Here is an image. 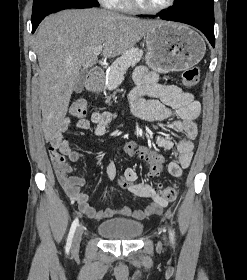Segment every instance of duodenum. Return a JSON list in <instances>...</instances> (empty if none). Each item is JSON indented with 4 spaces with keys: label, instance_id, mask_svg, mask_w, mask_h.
<instances>
[{
    "label": "duodenum",
    "instance_id": "duodenum-1",
    "mask_svg": "<svg viewBox=\"0 0 247 280\" xmlns=\"http://www.w3.org/2000/svg\"><path fill=\"white\" fill-rule=\"evenodd\" d=\"M102 78H103V71L101 68L92 69L87 81V88L90 91L99 90L102 83Z\"/></svg>",
    "mask_w": 247,
    "mask_h": 280
}]
</instances>
